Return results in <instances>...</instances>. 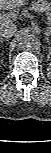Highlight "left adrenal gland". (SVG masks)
<instances>
[{"label": "left adrenal gland", "instance_id": "left-adrenal-gland-1", "mask_svg": "<svg viewBox=\"0 0 51 153\" xmlns=\"http://www.w3.org/2000/svg\"><path fill=\"white\" fill-rule=\"evenodd\" d=\"M45 39L47 40L48 44L50 45V40H49L48 36H46Z\"/></svg>", "mask_w": 51, "mask_h": 153}]
</instances>
